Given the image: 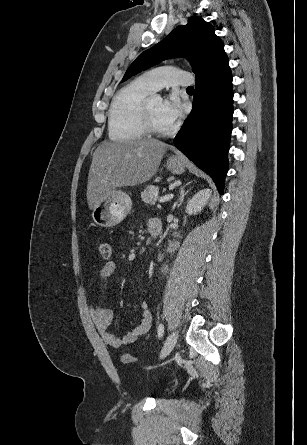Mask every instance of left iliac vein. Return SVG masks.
Masks as SVG:
<instances>
[{
    "label": "left iliac vein",
    "instance_id": "4c4485c4",
    "mask_svg": "<svg viewBox=\"0 0 307 445\" xmlns=\"http://www.w3.org/2000/svg\"><path fill=\"white\" fill-rule=\"evenodd\" d=\"M177 339H178L177 332H172L171 334H169L161 350L160 358L166 357L173 350V348L176 345Z\"/></svg>",
    "mask_w": 307,
    "mask_h": 445
}]
</instances>
